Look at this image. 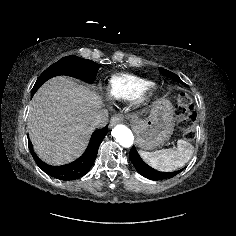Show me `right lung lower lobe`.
<instances>
[{"label": "right lung lower lobe", "instance_id": "98d812e1", "mask_svg": "<svg viewBox=\"0 0 236 236\" xmlns=\"http://www.w3.org/2000/svg\"><path fill=\"white\" fill-rule=\"evenodd\" d=\"M108 132V127L96 130L90 139L89 145L84 154L72 163L62 166H50L39 159L32 149V143H29L30 152L36 164L50 176L59 180H75L84 176L92 167L98 152V148L105 135Z\"/></svg>", "mask_w": 236, "mask_h": 236}]
</instances>
